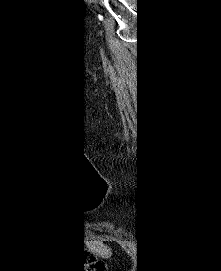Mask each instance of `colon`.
<instances>
[{
	"instance_id": "1",
	"label": "colon",
	"mask_w": 221,
	"mask_h": 271,
	"mask_svg": "<svg viewBox=\"0 0 221 271\" xmlns=\"http://www.w3.org/2000/svg\"><path fill=\"white\" fill-rule=\"evenodd\" d=\"M78 271H105V265L94 256L82 255L77 260Z\"/></svg>"
}]
</instances>
